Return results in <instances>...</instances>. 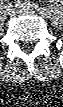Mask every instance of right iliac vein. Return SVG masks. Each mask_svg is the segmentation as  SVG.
Here are the masks:
<instances>
[{
    "mask_svg": "<svg viewBox=\"0 0 63 107\" xmlns=\"http://www.w3.org/2000/svg\"><path fill=\"white\" fill-rule=\"evenodd\" d=\"M8 15L10 17H14L15 16V10L13 7H10L9 10H8Z\"/></svg>",
    "mask_w": 63,
    "mask_h": 107,
    "instance_id": "1",
    "label": "right iliac vein"
}]
</instances>
